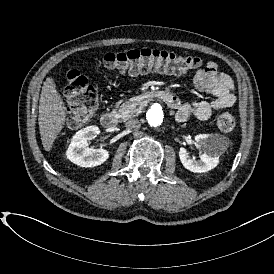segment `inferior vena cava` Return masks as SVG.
<instances>
[{"instance_id":"inferior-vena-cava-1","label":"inferior vena cava","mask_w":274,"mask_h":274,"mask_svg":"<svg viewBox=\"0 0 274 274\" xmlns=\"http://www.w3.org/2000/svg\"><path fill=\"white\" fill-rule=\"evenodd\" d=\"M125 127L129 130H137L141 127V123L138 119L131 118L126 121Z\"/></svg>"}]
</instances>
